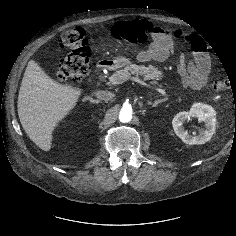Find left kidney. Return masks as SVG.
Here are the masks:
<instances>
[{"instance_id": "5707ae66", "label": "left kidney", "mask_w": 236, "mask_h": 236, "mask_svg": "<svg viewBox=\"0 0 236 236\" xmlns=\"http://www.w3.org/2000/svg\"><path fill=\"white\" fill-rule=\"evenodd\" d=\"M191 117L198 118L205 123V129L198 135H190L184 127V123ZM175 134L186 144L200 145L209 141L216 130V112L210 106L203 103H194L189 112H179L172 120Z\"/></svg>"}]
</instances>
